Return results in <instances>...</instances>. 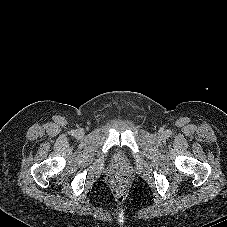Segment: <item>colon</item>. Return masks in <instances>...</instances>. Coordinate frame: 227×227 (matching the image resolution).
<instances>
[{
    "label": "colon",
    "mask_w": 227,
    "mask_h": 227,
    "mask_svg": "<svg viewBox=\"0 0 227 227\" xmlns=\"http://www.w3.org/2000/svg\"><path fill=\"white\" fill-rule=\"evenodd\" d=\"M110 189L117 198H123L129 191V179L123 173L114 174L109 180Z\"/></svg>",
    "instance_id": "obj_1"
}]
</instances>
